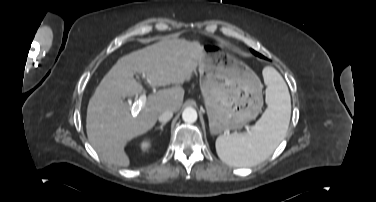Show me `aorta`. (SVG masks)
Here are the masks:
<instances>
[{
	"mask_svg": "<svg viewBox=\"0 0 376 202\" xmlns=\"http://www.w3.org/2000/svg\"><path fill=\"white\" fill-rule=\"evenodd\" d=\"M197 117V111L192 107L185 108L182 113V119L187 123H194Z\"/></svg>",
	"mask_w": 376,
	"mask_h": 202,
	"instance_id": "aorta-1",
	"label": "aorta"
}]
</instances>
